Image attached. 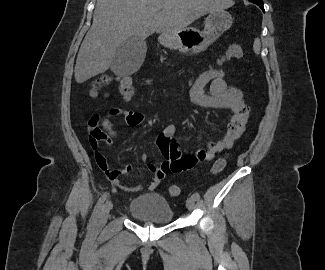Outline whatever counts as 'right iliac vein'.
<instances>
[{"instance_id":"obj_1","label":"right iliac vein","mask_w":325,"mask_h":270,"mask_svg":"<svg viewBox=\"0 0 325 270\" xmlns=\"http://www.w3.org/2000/svg\"><path fill=\"white\" fill-rule=\"evenodd\" d=\"M113 207V203L111 201H107L102 209H101V212L98 216V219H97V225L101 226V225H104L108 219V216H109V212L110 210L112 209Z\"/></svg>"}]
</instances>
